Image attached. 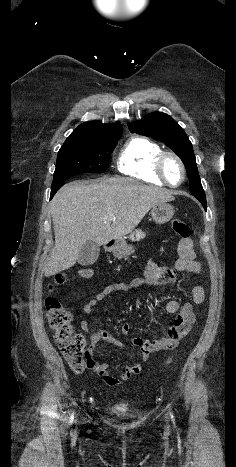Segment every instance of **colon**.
Returning <instances> with one entry per match:
<instances>
[{
	"instance_id": "colon-1",
	"label": "colon",
	"mask_w": 236,
	"mask_h": 467,
	"mask_svg": "<svg viewBox=\"0 0 236 467\" xmlns=\"http://www.w3.org/2000/svg\"><path fill=\"white\" fill-rule=\"evenodd\" d=\"M171 227L177 236L182 239L189 238L190 228L184 220L180 218L172 219ZM77 274L81 279H91L94 271L90 267H82L78 269ZM68 278L69 276L65 273L55 275L49 285L50 290L64 285L68 281ZM45 307L48 325L54 333L59 351L70 369L74 372H82L86 368H89L92 356L87 349L85 337L81 333L75 332L72 328L71 313L54 296L46 298ZM169 363L170 360L167 361V364Z\"/></svg>"
}]
</instances>
